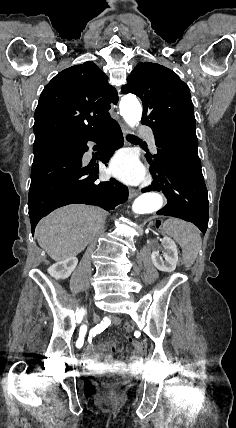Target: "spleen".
<instances>
[{
    "label": "spleen",
    "instance_id": "1",
    "mask_svg": "<svg viewBox=\"0 0 236 428\" xmlns=\"http://www.w3.org/2000/svg\"><path fill=\"white\" fill-rule=\"evenodd\" d=\"M162 230L164 234H168L180 244L186 268L192 266L201 248V236L198 228L190 222H184L178 218H169L164 222Z\"/></svg>",
    "mask_w": 236,
    "mask_h": 428
}]
</instances>
